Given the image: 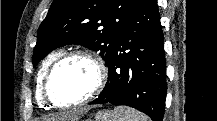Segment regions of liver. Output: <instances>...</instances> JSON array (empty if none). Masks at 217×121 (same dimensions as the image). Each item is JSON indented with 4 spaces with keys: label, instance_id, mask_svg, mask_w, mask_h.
<instances>
[{
    "label": "liver",
    "instance_id": "6515ba94",
    "mask_svg": "<svg viewBox=\"0 0 217 121\" xmlns=\"http://www.w3.org/2000/svg\"><path fill=\"white\" fill-rule=\"evenodd\" d=\"M68 118V115L64 114V115H61L60 117H58L57 119H59V121H65V119Z\"/></svg>",
    "mask_w": 217,
    "mask_h": 121
}]
</instances>
